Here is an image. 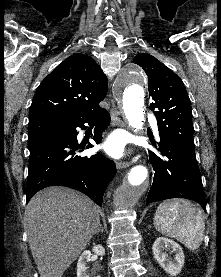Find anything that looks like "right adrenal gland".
<instances>
[{
    "instance_id": "right-adrenal-gland-1",
    "label": "right adrenal gland",
    "mask_w": 221,
    "mask_h": 277,
    "mask_svg": "<svg viewBox=\"0 0 221 277\" xmlns=\"http://www.w3.org/2000/svg\"><path fill=\"white\" fill-rule=\"evenodd\" d=\"M103 231H104V230H103V227H102V225L100 224V225H99V228H98V230H97V232H96V234L99 233V232L103 233Z\"/></svg>"
}]
</instances>
